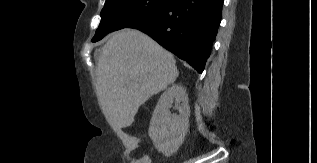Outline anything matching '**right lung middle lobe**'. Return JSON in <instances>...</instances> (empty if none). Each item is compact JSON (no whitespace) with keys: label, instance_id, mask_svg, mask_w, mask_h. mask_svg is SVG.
Segmentation results:
<instances>
[{"label":"right lung middle lobe","instance_id":"right-lung-middle-lobe-1","mask_svg":"<svg viewBox=\"0 0 317 163\" xmlns=\"http://www.w3.org/2000/svg\"><path fill=\"white\" fill-rule=\"evenodd\" d=\"M169 0H106L101 11V22L93 42L101 40L106 34L141 21Z\"/></svg>","mask_w":317,"mask_h":163}]
</instances>
